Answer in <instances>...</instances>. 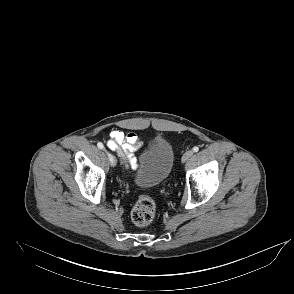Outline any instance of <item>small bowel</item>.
I'll return each mask as SVG.
<instances>
[{
  "label": "small bowel",
  "instance_id": "small-bowel-1",
  "mask_svg": "<svg viewBox=\"0 0 294 294\" xmlns=\"http://www.w3.org/2000/svg\"><path fill=\"white\" fill-rule=\"evenodd\" d=\"M141 145L142 142L136 133H125L121 130H113L107 142L108 148L115 151L127 166L132 169L137 165L134 152L140 148Z\"/></svg>",
  "mask_w": 294,
  "mask_h": 294
}]
</instances>
